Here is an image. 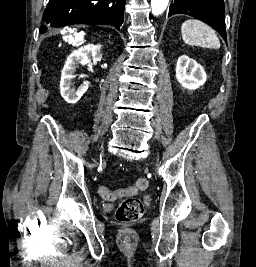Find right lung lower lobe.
I'll return each mask as SVG.
<instances>
[{
	"label": "right lung lower lobe",
	"instance_id": "obj_1",
	"mask_svg": "<svg viewBox=\"0 0 256 267\" xmlns=\"http://www.w3.org/2000/svg\"><path fill=\"white\" fill-rule=\"evenodd\" d=\"M126 0H50L43 14L44 24L40 33L48 27L72 24H111L118 30L123 23Z\"/></svg>",
	"mask_w": 256,
	"mask_h": 267
}]
</instances>
